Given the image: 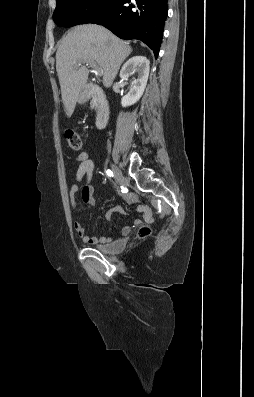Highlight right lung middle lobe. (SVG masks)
I'll list each match as a JSON object with an SVG mask.
<instances>
[{
	"instance_id": "dd1d6c3e",
	"label": "right lung middle lobe",
	"mask_w": 254,
	"mask_h": 397,
	"mask_svg": "<svg viewBox=\"0 0 254 397\" xmlns=\"http://www.w3.org/2000/svg\"><path fill=\"white\" fill-rule=\"evenodd\" d=\"M114 0H57L53 14L57 25L70 27L89 23L105 12Z\"/></svg>"
}]
</instances>
